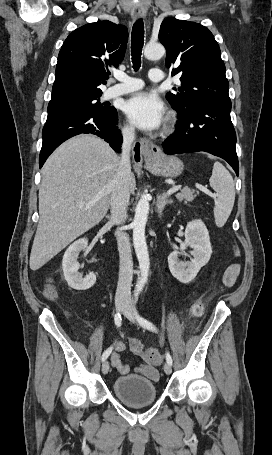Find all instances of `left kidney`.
<instances>
[{
    "instance_id": "1",
    "label": "left kidney",
    "mask_w": 272,
    "mask_h": 455,
    "mask_svg": "<svg viewBox=\"0 0 272 455\" xmlns=\"http://www.w3.org/2000/svg\"><path fill=\"white\" fill-rule=\"evenodd\" d=\"M190 247L193 258L188 262L179 260V255H185V250ZM212 247L209 232L201 220L189 222L185 229V240L180 245V252H172L168 256L171 274L181 283L191 282L200 269L206 265L211 257Z\"/></svg>"
}]
</instances>
